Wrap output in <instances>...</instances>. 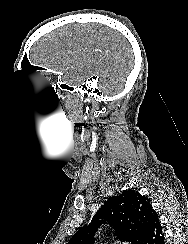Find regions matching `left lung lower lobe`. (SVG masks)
I'll return each mask as SVG.
<instances>
[{"label":"left lung lower lobe","instance_id":"1","mask_svg":"<svg viewBox=\"0 0 188 244\" xmlns=\"http://www.w3.org/2000/svg\"><path fill=\"white\" fill-rule=\"evenodd\" d=\"M142 244H165L164 234L156 212L150 218Z\"/></svg>","mask_w":188,"mask_h":244}]
</instances>
